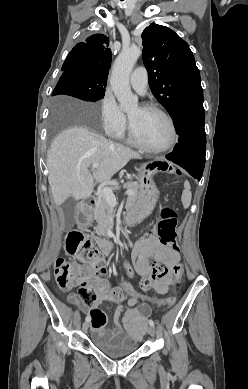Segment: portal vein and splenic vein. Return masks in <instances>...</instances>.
Wrapping results in <instances>:
<instances>
[{
    "label": "portal vein and splenic vein",
    "instance_id": "portal-vein-and-splenic-vein-1",
    "mask_svg": "<svg viewBox=\"0 0 248 389\" xmlns=\"http://www.w3.org/2000/svg\"><path fill=\"white\" fill-rule=\"evenodd\" d=\"M99 167V163L92 164V169H96ZM127 195L133 194L132 191H127ZM101 195L107 200V202L110 204V206H115L117 204V200L115 198V195L113 194V191L109 187H103L101 190Z\"/></svg>",
    "mask_w": 248,
    "mask_h": 389
}]
</instances>
